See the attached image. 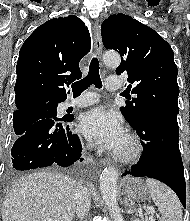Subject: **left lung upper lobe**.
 <instances>
[{
	"instance_id": "obj_1",
	"label": "left lung upper lobe",
	"mask_w": 190,
	"mask_h": 221,
	"mask_svg": "<svg viewBox=\"0 0 190 221\" xmlns=\"http://www.w3.org/2000/svg\"><path fill=\"white\" fill-rule=\"evenodd\" d=\"M106 49L120 53L116 74H128L127 90L136 98L120 111L134 125L146 112L166 110L179 113L177 66L170 45L150 27L125 14L111 15L101 26Z\"/></svg>"
}]
</instances>
